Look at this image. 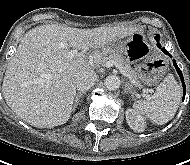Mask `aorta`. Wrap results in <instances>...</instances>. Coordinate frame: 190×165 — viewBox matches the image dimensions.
<instances>
[{
	"label": "aorta",
	"instance_id": "aorta-1",
	"mask_svg": "<svg viewBox=\"0 0 190 165\" xmlns=\"http://www.w3.org/2000/svg\"><path fill=\"white\" fill-rule=\"evenodd\" d=\"M104 85L108 90L114 91L117 90L121 85V80L116 75H109L104 81Z\"/></svg>",
	"mask_w": 190,
	"mask_h": 165
}]
</instances>
